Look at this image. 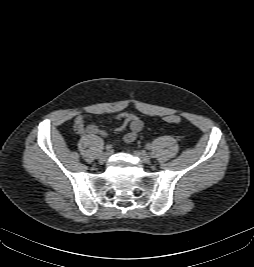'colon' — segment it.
<instances>
[{"label": "colon", "mask_w": 254, "mask_h": 267, "mask_svg": "<svg viewBox=\"0 0 254 267\" xmlns=\"http://www.w3.org/2000/svg\"><path fill=\"white\" fill-rule=\"evenodd\" d=\"M164 119L167 123H178L180 120V118L175 114L167 115Z\"/></svg>", "instance_id": "1"}]
</instances>
